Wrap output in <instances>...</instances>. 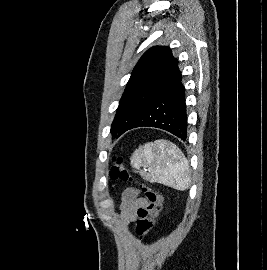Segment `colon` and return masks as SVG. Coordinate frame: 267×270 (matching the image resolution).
<instances>
[{"instance_id":"5ec220e1","label":"colon","mask_w":267,"mask_h":270,"mask_svg":"<svg viewBox=\"0 0 267 270\" xmlns=\"http://www.w3.org/2000/svg\"><path fill=\"white\" fill-rule=\"evenodd\" d=\"M110 177L113 180L121 181H132L134 179L130 171L125 167L123 158L120 156L113 158ZM140 187L144 192L147 205L138 213L135 221V231L141 239H144L150 234L154 226L155 219L162 210L163 197L160 191L154 186L146 183H140Z\"/></svg>"}]
</instances>
